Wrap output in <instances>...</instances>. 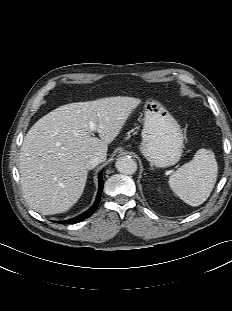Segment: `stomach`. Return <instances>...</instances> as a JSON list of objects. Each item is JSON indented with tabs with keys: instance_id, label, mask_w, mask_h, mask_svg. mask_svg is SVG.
<instances>
[{
	"instance_id": "0dacf381",
	"label": "stomach",
	"mask_w": 232,
	"mask_h": 311,
	"mask_svg": "<svg viewBox=\"0 0 232 311\" xmlns=\"http://www.w3.org/2000/svg\"><path fill=\"white\" fill-rule=\"evenodd\" d=\"M140 151L155 167L176 164L183 153L184 135L174 117L159 102L148 99L144 105Z\"/></svg>"
}]
</instances>
